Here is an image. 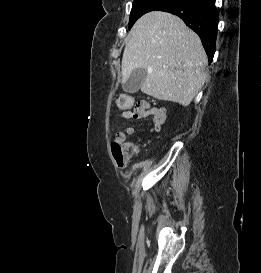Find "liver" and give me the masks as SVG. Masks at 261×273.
Listing matches in <instances>:
<instances>
[{
  "label": "liver",
  "mask_w": 261,
  "mask_h": 273,
  "mask_svg": "<svg viewBox=\"0 0 261 273\" xmlns=\"http://www.w3.org/2000/svg\"><path fill=\"white\" fill-rule=\"evenodd\" d=\"M207 64L196 33L179 17L152 11L131 30L122 57V83L133 70L143 68L147 71L143 93L188 106L205 83Z\"/></svg>",
  "instance_id": "1"
}]
</instances>
